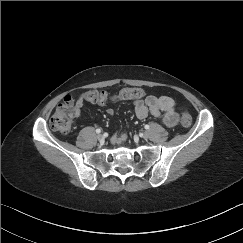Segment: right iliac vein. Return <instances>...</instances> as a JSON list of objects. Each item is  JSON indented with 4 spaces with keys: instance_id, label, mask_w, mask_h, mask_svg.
<instances>
[{
    "instance_id": "right-iliac-vein-1",
    "label": "right iliac vein",
    "mask_w": 243,
    "mask_h": 243,
    "mask_svg": "<svg viewBox=\"0 0 243 243\" xmlns=\"http://www.w3.org/2000/svg\"><path fill=\"white\" fill-rule=\"evenodd\" d=\"M97 139H98V140H102V139H103V136H102L101 134H98V135H97Z\"/></svg>"
}]
</instances>
